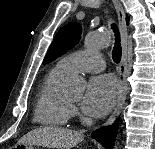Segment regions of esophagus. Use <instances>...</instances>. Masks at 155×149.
Here are the masks:
<instances>
[{
	"label": "esophagus",
	"mask_w": 155,
	"mask_h": 149,
	"mask_svg": "<svg viewBox=\"0 0 155 149\" xmlns=\"http://www.w3.org/2000/svg\"><path fill=\"white\" fill-rule=\"evenodd\" d=\"M114 7L116 9L119 28L121 32V43H122V57L118 67L119 72V94L117 98L116 106L111 114V116L104 123V126L111 125L117 116L120 114L126 98V77H127V45H128V31L126 24L125 11L119 0H113Z\"/></svg>",
	"instance_id": "esophagus-1"
}]
</instances>
